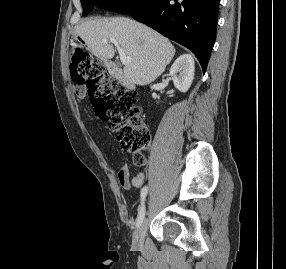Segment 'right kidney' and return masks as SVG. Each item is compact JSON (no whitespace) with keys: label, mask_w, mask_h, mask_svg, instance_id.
Returning a JSON list of instances; mask_svg holds the SVG:
<instances>
[{"label":"right kidney","mask_w":286,"mask_h":269,"mask_svg":"<svg viewBox=\"0 0 286 269\" xmlns=\"http://www.w3.org/2000/svg\"><path fill=\"white\" fill-rule=\"evenodd\" d=\"M194 59L189 54H183L170 68V76L174 86L181 92L185 93L190 88L194 78Z\"/></svg>","instance_id":"obj_1"}]
</instances>
